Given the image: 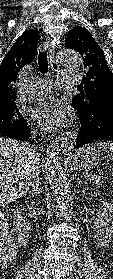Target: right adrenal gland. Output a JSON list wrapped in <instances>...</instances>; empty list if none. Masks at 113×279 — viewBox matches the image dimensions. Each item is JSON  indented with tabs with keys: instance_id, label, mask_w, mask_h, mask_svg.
I'll list each match as a JSON object with an SVG mask.
<instances>
[{
	"instance_id": "2a0ac1e0",
	"label": "right adrenal gland",
	"mask_w": 113,
	"mask_h": 279,
	"mask_svg": "<svg viewBox=\"0 0 113 279\" xmlns=\"http://www.w3.org/2000/svg\"><path fill=\"white\" fill-rule=\"evenodd\" d=\"M40 185H41V182H40V178H39V173L37 172L36 173V180L35 182H33V191L31 193L32 196H38L41 192V189H40Z\"/></svg>"
}]
</instances>
